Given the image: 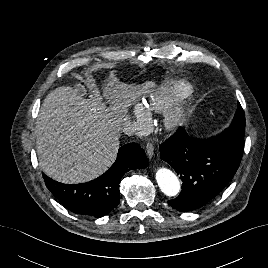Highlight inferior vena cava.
Masks as SVG:
<instances>
[{
	"instance_id": "obj_1",
	"label": "inferior vena cava",
	"mask_w": 268,
	"mask_h": 268,
	"mask_svg": "<svg viewBox=\"0 0 268 268\" xmlns=\"http://www.w3.org/2000/svg\"><path fill=\"white\" fill-rule=\"evenodd\" d=\"M121 129L128 136L135 135L138 133L137 127L130 123L125 124Z\"/></svg>"
}]
</instances>
